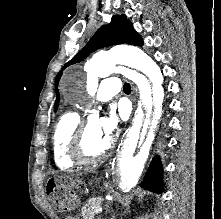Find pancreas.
Segmentation results:
<instances>
[{"instance_id":"1","label":"pancreas","mask_w":221,"mask_h":219,"mask_svg":"<svg viewBox=\"0 0 221 219\" xmlns=\"http://www.w3.org/2000/svg\"><path fill=\"white\" fill-rule=\"evenodd\" d=\"M102 200V198L89 199L81 209L83 219H94V216L98 214L97 210L100 208Z\"/></svg>"}]
</instances>
